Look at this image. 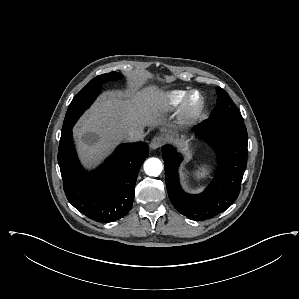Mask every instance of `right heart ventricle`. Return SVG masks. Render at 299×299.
<instances>
[{
  "label": "right heart ventricle",
  "instance_id": "obj_1",
  "mask_svg": "<svg viewBox=\"0 0 299 299\" xmlns=\"http://www.w3.org/2000/svg\"><path fill=\"white\" fill-rule=\"evenodd\" d=\"M186 95V92L183 90H173L169 91L164 95V101L165 104L168 107H173L181 103L184 96Z\"/></svg>",
  "mask_w": 299,
  "mask_h": 299
}]
</instances>
